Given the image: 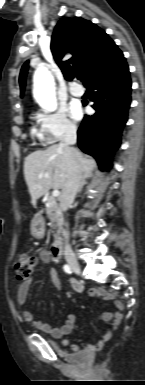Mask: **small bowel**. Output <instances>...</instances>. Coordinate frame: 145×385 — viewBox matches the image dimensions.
<instances>
[{"label": "small bowel", "instance_id": "1", "mask_svg": "<svg viewBox=\"0 0 145 385\" xmlns=\"http://www.w3.org/2000/svg\"><path fill=\"white\" fill-rule=\"evenodd\" d=\"M38 258H39V261L41 263H44V264H47V263L51 262L53 259H55V257L52 256L51 251L46 250V249H42L39 251ZM50 276H51V280H52V283L55 286V288H57L58 290H61L62 285H61L60 279L58 278L57 271L54 268L50 269ZM30 283H31V281L27 280V281H24L23 283H21L18 287L17 302L20 306H24L26 301H27L29 290H30ZM71 284H72L75 291L83 292V290H84L83 284H81L80 282H78L77 280H74V279H71ZM88 296L89 297L98 296L104 300H113L115 298L112 293H110L107 290L102 289V288L90 289L88 291ZM114 308H115V310L112 312H103L99 315L100 320L111 321L112 325L110 328H108L106 333L99 339V341L97 343L88 344V348L100 349L110 340L115 327L121 321L122 311L124 309L123 302L120 300H115ZM22 316L26 322L33 323L39 330L46 332V333H49L54 338H63L65 335L69 334L73 330L74 325H75L76 320H77V316L75 314H69L67 316L64 324L61 327L55 328V327H52L51 325H49L48 323H44L42 321L36 320L34 318L33 314L28 310H24L22 313ZM69 343L70 342L67 338L62 339L63 345L67 346V345H69ZM72 349L74 351H78L79 350L78 344H73Z\"/></svg>", "mask_w": 145, "mask_h": 385}]
</instances>
